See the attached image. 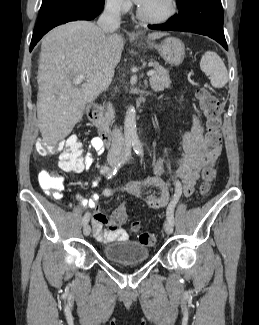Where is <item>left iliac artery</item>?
<instances>
[{
	"mask_svg": "<svg viewBox=\"0 0 259 325\" xmlns=\"http://www.w3.org/2000/svg\"><path fill=\"white\" fill-rule=\"evenodd\" d=\"M133 149L137 155L143 157L144 153H143V148H142V145L140 144V142L134 141ZM175 185H176V189H175L174 197H173L172 201L170 202V204L168 205V208L166 211L167 220L170 221L173 225H174V208H175L176 204L178 203V200L182 193L180 182L176 181Z\"/></svg>",
	"mask_w": 259,
	"mask_h": 325,
	"instance_id": "1",
	"label": "left iliac artery"
}]
</instances>
